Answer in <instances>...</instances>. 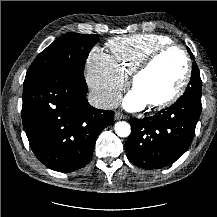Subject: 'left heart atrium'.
<instances>
[{"label": "left heart atrium", "instance_id": "obj_1", "mask_svg": "<svg viewBox=\"0 0 217 217\" xmlns=\"http://www.w3.org/2000/svg\"><path fill=\"white\" fill-rule=\"evenodd\" d=\"M146 104L147 102L134 90L124 100V106L130 110L141 109Z\"/></svg>", "mask_w": 217, "mask_h": 217}]
</instances>
